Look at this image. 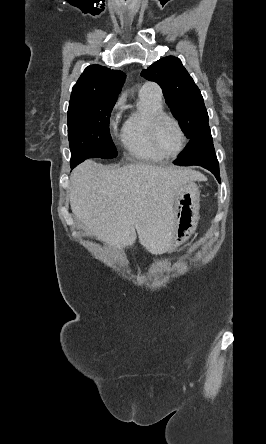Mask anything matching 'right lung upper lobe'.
Listing matches in <instances>:
<instances>
[{
	"mask_svg": "<svg viewBox=\"0 0 266 444\" xmlns=\"http://www.w3.org/2000/svg\"><path fill=\"white\" fill-rule=\"evenodd\" d=\"M125 74L100 65H90L72 88L69 105L80 104L99 98H117L124 83Z\"/></svg>",
	"mask_w": 266,
	"mask_h": 444,
	"instance_id": "right-lung-upper-lobe-1",
	"label": "right lung upper lobe"
}]
</instances>
